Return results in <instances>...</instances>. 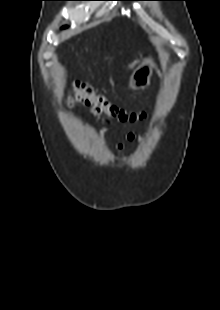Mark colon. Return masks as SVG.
<instances>
[{"label":"colon","instance_id":"5ec220e1","mask_svg":"<svg viewBox=\"0 0 220 310\" xmlns=\"http://www.w3.org/2000/svg\"><path fill=\"white\" fill-rule=\"evenodd\" d=\"M68 106L82 103L90 107L95 113L103 115L107 122L134 121L142 117V114L130 113L112 103L104 96L97 94L93 87L86 83L74 82L68 92Z\"/></svg>","mask_w":220,"mask_h":310}]
</instances>
